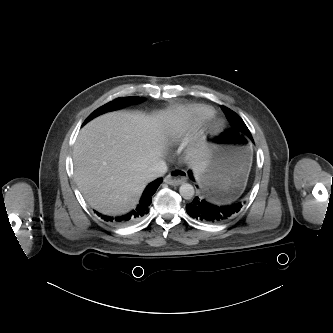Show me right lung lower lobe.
Segmentation results:
<instances>
[{
	"mask_svg": "<svg viewBox=\"0 0 333 333\" xmlns=\"http://www.w3.org/2000/svg\"><path fill=\"white\" fill-rule=\"evenodd\" d=\"M162 181H163L162 178H158L155 181L151 182L144 190L142 197L140 199V203L138 204L136 209L132 210L126 215L111 217L96 212L97 215L101 216L103 220L117 225H127L135 222L136 220L140 219L142 216H144L149 212V206L152 201V196L156 192L157 188L162 183Z\"/></svg>",
	"mask_w": 333,
	"mask_h": 333,
	"instance_id": "right-lung-lower-lobe-1",
	"label": "right lung lower lobe"
}]
</instances>
